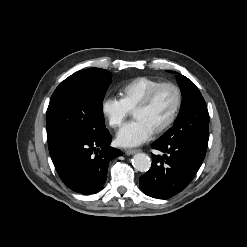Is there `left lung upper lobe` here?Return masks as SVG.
<instances>
[{"mask_svg": "<svg viewBox=\"0 0 247 247\" xmlns=\"http://www.w3.org/2000/svg\"><path fill=\"white\" fill-rule=\"evenodd\" d=\"M172 72V71H170ZM183 102L174 126L160 140L190 139L208 145L209 114L204 98L193 82L182 74L177 75Z\"/></svg>", "mask_w": 247, "mask_h": 247, "instance_id": "left-lung-upper-lobe-1", "label": "left lung upper lobe"}]
</instances>
